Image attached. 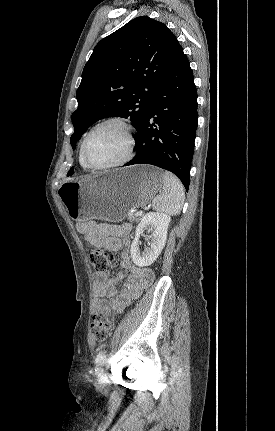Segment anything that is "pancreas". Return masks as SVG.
Masks as SVG:
<instances>
[{
    "mask_svg": "<svg viewBox=\"0 0 275 431\" xmlns=\"http://www.w3.org/2000/svg\"><path fill=\"white\" fill-rule=\"evenodd\" d=\"M127 218H128V220L130 222H139L140 219H141L140 216H138V215H131V214H128Z\"/></svg>",
    "mask_w": 275,
    "mask_h": 431,
    "instance_id": "pancreas-1",
    "label": "pancreas"
}]
</instances>
